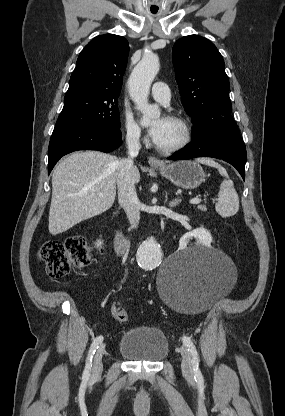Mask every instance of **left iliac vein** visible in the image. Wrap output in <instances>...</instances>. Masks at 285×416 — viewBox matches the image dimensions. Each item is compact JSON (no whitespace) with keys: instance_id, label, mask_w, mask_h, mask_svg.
<instances>
[{"instance_id":"1","label":"left iliac vein","mask_w":285,"mask_h":416,"mask_svg":"<svg viewBox=\"0 0 285 416\" xmlns=\"http://www.w3.org/2000/svg\"><path fill=\"white\" fill-rule=\"evenodd\" d=\"M180 353L182 356V371L184 375L188 377L193 376L192 360L188 349L184 346L180 347Z\"/></svg>"}]
</instances>
